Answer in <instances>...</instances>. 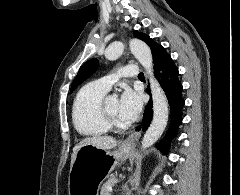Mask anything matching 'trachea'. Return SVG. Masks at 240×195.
<instances>
[{
  "instance_id": "3493384b",
  "label": "trachea",
  "mask_w": 240,
  "mask_h": 195,
  "mask_svg": "<svg viewBox=\"0 0 240 195\" xmlns=\"http://www.w3.org/2000/svg\"><path fill=\"white\" fill-rule=\"evenodd\" d=\"M138 77H139L140 79H144V74H143V73H139Z\"/></svg>"
}]
</instances>
